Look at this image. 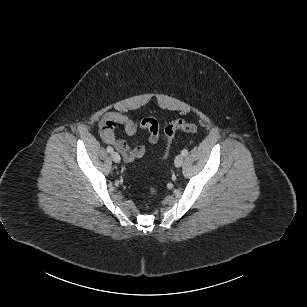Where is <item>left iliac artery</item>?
<instances>
[{
    "label": "left iliac artery",
    "instance_id": "obj_1",
    "mask_svg": "<svg viewBox=\"0 0 307 307\" xmlns=\"http://www.w3.org/2000/svg\"><path fill=\"white\" fill-rule=\"evenodd\" d=\"M181 154H182L183 156H186V155L188 154V150H186V149L182 150Z\"/></svg>",
    "mask_w": 307,
    "mask_h": 307
}]
</instances>
